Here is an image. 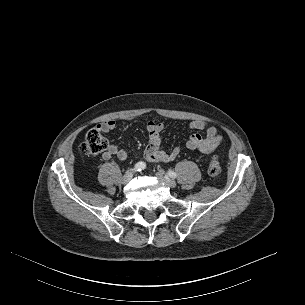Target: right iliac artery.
<instances>
[{"label":"right iliac artery","instance_id":"1","mask_svg":"<svg viewBox=\"0 0 305 305\" xmlns=\"http://www.w3.org/2000/svg\"><path fill=\"white\" fill-rule=\"evenodd\" d=\"M146 168V164L144 163V162H138V163H136L135 164V166H134V171L135 172H137V171H142V170H144Z\"/></svg>","mask_w":305,"mask_h":305}]
</instances>
